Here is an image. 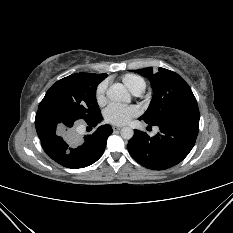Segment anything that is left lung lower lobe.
<instances>
[{
	"label": "left lung lower lobe",
	"instance_id": "0a47b994",
	"mask_svg": "<svg viewBox=\"0 0 233 233\" xmlns=\"http://www.w3.org/2000/svg\"><path fill=\"white\" fill-rule=\"evenodd\" d=\"M154 125L160 128V132L153 137L134 131L127 145L130 155L139 164L153 170L177 165L189 154L196 141L199 131L197 102L183 106Z\"/></svg>",
	"mask_w": 233,
	"mask_h": 233
}]
</instances>
